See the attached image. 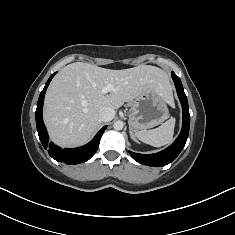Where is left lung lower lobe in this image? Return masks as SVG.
I'll use <instances>...</instances> for the list:
<instances>
[{"label":"left lung lower lobe","instance_id":"1","mask_svg":"<svg viewBox=\"0 0 235 235\" xmlns=\"http://www.w3.org/2000/svg\"><path fill=\"white\" fill-rule=\"evenodd\" d=\"M171 75L173 81L175 82L178 97L182 105V110H183L182 130L178 138L175 140V142L167 149L161 152L146 155L130 151L129 153L132 156V158L143 165L160 167L169 164L179 155V153L185 146L186 140L188 138L189 127H190V114H189L187 97L184 93L183 86L179 77L174 72H172Z\"/></svg>","mask_w":235,"mask_h":235}]
</instances>
